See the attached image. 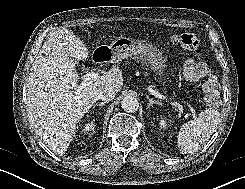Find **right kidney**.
I'll list each match as a JSON object with an SVG mask.
<instances>
[{"mask_svg":"<svg viewBox=\"0 0 245 189\" xmlns=\"http://www.w3.org/2000/svg\"><path fill=\"white\" fill-rule=\"evenodd\" d=\"M94 127H95V124L93 122L87 123V124H85L82 132L86 133V132H89V131H93Z\"/></svg>","mask_w":245,"mask_h":189,"instance_id":"ca27d5eb","label":"right kidney"}]
</instances>
